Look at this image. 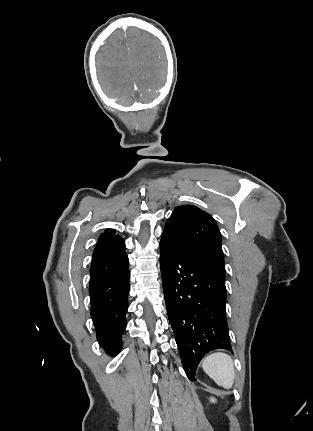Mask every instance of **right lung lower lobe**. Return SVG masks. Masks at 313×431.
I'll use <instances>...</instances> for the list:
<instances>
[{
  "label": "right lung lower lobe",
  "mask_w": 313,
  "mask_h": 431,
  "mask_svg": "<svg viewBox=\"0 0 313 431\" xmlns=\"http://www.w3.org/2000/svg\"><path fill=\"white\" fill-rule=\"evenodd\" d=\"M129 277L122 238L94 251L89 286L91 318L99 344L114 356L122 346L121 335L126 328Z\"/></svg>",
  "instance_id": "98d812e1"
}]
</instances>
